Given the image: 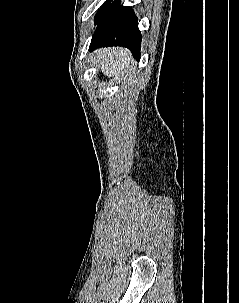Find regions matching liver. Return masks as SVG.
<instances>
[{
	"label": "liver",
	"instance_id": "liver-1",
	"mask_svg": "<svg viewBox=\"0 0 239 303\" xmlns=\"http://www.w3.org/2000/svg\"><path fill=\"white\" fill-rule=\"evenodd\" d=\"M100 60L99 69L105 76L125 75L128 80L131 75V54L124 48L112 47L100 49L96 52Z\"/></svg>",
	"mask_w": 239,
	"mask_h": 303
}]
</instances>
